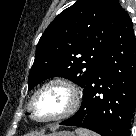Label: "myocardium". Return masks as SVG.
Instances as JSON below:
<instances>
[{
    "label": "myocardium",
    "mask_w": 136,
    "mask_h": 136,
    "mask_svg": "<svg viewBox=\"0 0 136 136\" xmlns=\"http://www.w3.org/2000/svg\"><path fill=\"white\" fill-rule=\"evenodd\" d=\"M53 86H59V87L63 88L68 93L69 103H68L66 109L63 112H61L60 114L53 116V117L44 118V119L36 117V115L34 114V111H33V105H34L35 99L44 90H46L50 87H53ZM80 101H81L80 91L74 83H72L71 81L64 79V78H53V79L48 80L44 84H42L34 92V94L32 95V97L30 99V102L28 105V110L30 112L31 118L37 122H41V123L57 122V121L64 120V119L70 117L71 115H73L77 111V109L79 108Z\"/></svg>",
    "instance_id": "1"
}]
</instances>
